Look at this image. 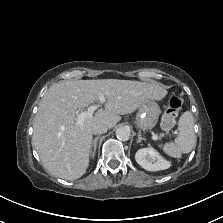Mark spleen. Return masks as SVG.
I'll list each match as a JSON object with an SVG mask.
<instances>
[{"label":"spleen","instance_id":"spleen-1","mask_svg":"<svg viewBox=\"0 0 223 223\" xmlns=\"http://www.w3.org/2000/svg\"><path fill=\"white\" fill-rule=\"evenodd\" d=\"M194 117L191 112H184L178 120L179 134L174 142L166 143L163 151L174 158H181L182 153H189L196 146L194 133Z\"/></svg>","mask_w":223,"mask_h":223}]
</instances>
